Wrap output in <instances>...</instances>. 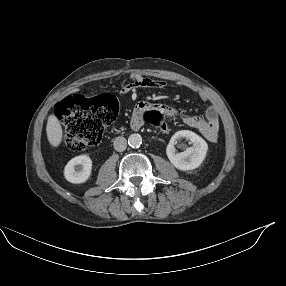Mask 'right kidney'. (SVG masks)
<instances>
[{
  "label": "right kidney",
  "instance_id": "right-kidney-1",
  "mask_svg": "<svg viewBox=\"0 0 286 286\" xmlns=\"http://www.w3.org/2000/svg\"><path fill=\"white\" fill-rule=\"evenodd\" d=\"M78 166H82L80 171H76ZM92 171V160L86 155H79L71 159L64 169V176L67 181L71 183H84L86 182Z\"/></svg>",
  "mask_w": 286,
  "mask_h": 286
}]
</instances>
